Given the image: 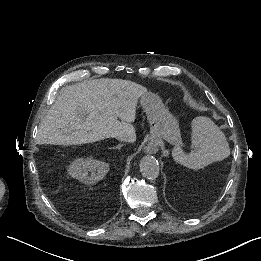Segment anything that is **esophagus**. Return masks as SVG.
I'll use <instances>...</instances> for the list:
<instances>
[{
    "instance_id": "1",
    "label": "esophagus",
    "mask_w": 261,
    "mask_h": 261,
    "mask_svg": "<svg viewBox=\"0 0 261 261\" xmlns=\"http://www.w3.org/2000/svg\"><path fill=\"white\" fill-rule=\"evenodd\" d=\"M146 151L149 154H155L158 151V144L156 142H150L146 147Z\"/></svg>"
}]
</instances>
